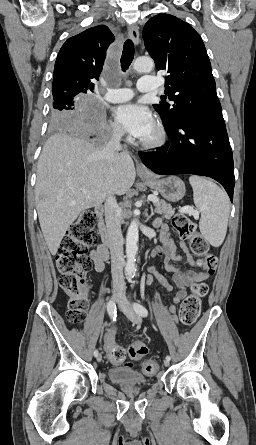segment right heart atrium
Wrapping results in <instances>:
<instances>
[{"label": "right heart atrium", "instance_id": "d8ad5b80", "mask_svg": "<svg viewBox=\"0 0 256 445\" xmlns=\"http://www.w3.org/2000/svg\"><path fill=\"white\" fill-rule=\"evenodd\" d=\"M110 133L111 136L114 138H120L123 135V131L121 130V128L113 122L110 124Z\"/></svg>", "mask_w": 256, "mask_h": 445}]
</instances>
